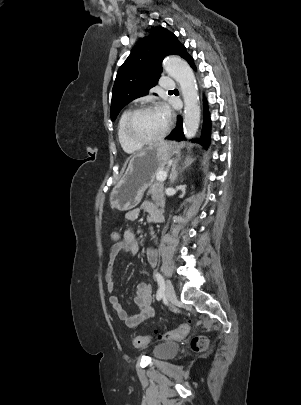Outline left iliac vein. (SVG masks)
<instances>
[{
    "mask_svg": "<svg viewBox=\"0 0 301 405\" xmlns=\"http://www.w3.org/2000/svg\"><path fill=\"white\" fill-rule=\"evenodd\" d=\"M165 296H166L167 300L170 302H175V300H176V294L174 291V287L169 280H167V282H166Z\"/></svg>",
    "mask_w": 301,
    "mask_h": 405,
    "instance_id": "left-iliac-vein-1",
    "label": "left iliac vein"
}]
</instances>
